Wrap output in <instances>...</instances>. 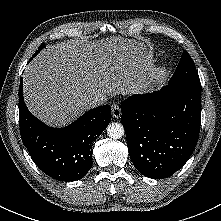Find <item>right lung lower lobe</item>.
Here are the masks:
<instances>
[{
  "instance_id": "right-lung-lower-lobe-1",
  "label": "right lung lower lobe",
  "mask_w": 221,
  "mask_h": 221,
  "mask_svg": "<svg viewBox=\"0 0 221 221\" xmlns=\"http://www.w3.org/2000/svg\"><path fill=\"white\" fill-rule=\"evenodd\" d=\"M110 120L111 108L103 105L89 110L67 127H49L28 110L23 99L22 78L20 80L21 138L34 163L53 179L74 181L87 174L92 167V142Z\"/></svg>"
}]
</instances>
